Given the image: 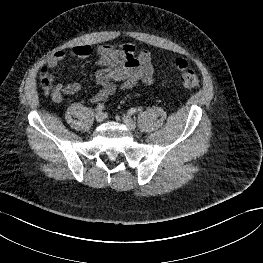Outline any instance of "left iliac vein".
<instances>
[{"instance_id": "left-iliac-vein-1", "label": "left iliac vein", "mask_w": 263, "mask_h": 263, "mask_svg": "<svg viewBox=\"0 0 263 263\" xmlns=\"http://www.w3.org/2000/svg\"><path fill=\"white\" fill-rule=\"evenodd\" d=\"M123 123L126 125V127L130 130H134L136 128V123L129 115L123 116Z\"/></svg>"}]
</instances>
